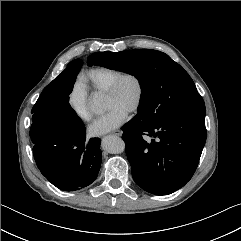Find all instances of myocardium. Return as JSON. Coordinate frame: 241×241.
<instances>
[{
  "label": "myocardium",
  "instance_id": "1",
  "mask_svg": "<svg viewBox=\"0 0 241 241\" xmlns=\"http://www.w3.org/2000/svg\"><path fill=\"white\" fill-rule=\"evenodd\" d=\"M128 78L133 79L137 85V97L133 106L128 111V113H136L141 108L143 104L144 96H145V85H144L143 79L137 73H134V72L121 73L118 77H116L111 82V84L108 86V88L104 93L105 95H114L118 91L121 83Z\"/></svg>",
  "mask_w": 241,
  "mask_h": 241
}]
</instances>
